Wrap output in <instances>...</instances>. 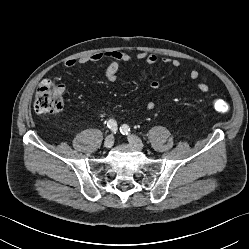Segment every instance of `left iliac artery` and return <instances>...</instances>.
Here are the masks:
<instances>
[{"label":"left iliac artery","mask_w":249,"mask_h":249,"mask_svg":"<svg viewBox=\"0 0 249 249\" xmlns=\"http://www.w3.org/2000/svg\"><path fill=\"white\" fill-rule=\"evenodd\" d=\"M120 131L122 134H128L130 132V127L126 124L122 125V127H120Z\"/></svg>","instance_id":"1"}]
</instances>
